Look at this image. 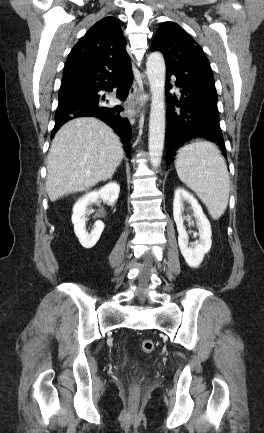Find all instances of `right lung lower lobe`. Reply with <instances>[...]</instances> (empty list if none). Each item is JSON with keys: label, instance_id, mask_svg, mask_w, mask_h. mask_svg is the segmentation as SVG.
Masks as SVG:
<instances>
[{"label": "right lung lower lobe", "instance_id": "right-lung-lower-lobe-1", "mask_svg": "<svg viewBox=\"0 0 264 433\" xmlns=\"http://www.w3.org/2000/svg\"><path fill=\"white\" fill-rule=\"evenodd\" d=\"M131 84V64L116 70L101 69L63 77L51 137L67 121L82 116H93L112 127L121 137L125 151L130 152L131 128L129 120L120 114L123 108L120 105H111L99 91L110 92L116 89L117 98L124 101Z\"/></svg>", "mask_w": 264, "mask_h": 433}]
</instances>
